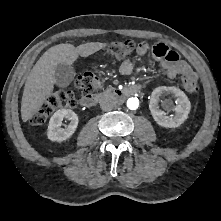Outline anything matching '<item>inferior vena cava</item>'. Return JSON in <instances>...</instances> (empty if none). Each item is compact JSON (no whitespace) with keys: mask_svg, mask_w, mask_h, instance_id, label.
I'll list each match as a JSON object with an SVG mask.
<instances>
[{"mask_svg":"<svg viewBox=\"0 0 221 221\" xmlns=\"http://www.w3.org/2000/svg\"><path fill=\"white\" fill-rule=\"evenodd\" d=\"M116 106V101L110 97H104L100 101V107L103 111H110Z\"/></svg>","mask_w":221,"mask_h":221,"instance_id":"602c4592","label":"inferior vena cava"}]
</instances>
